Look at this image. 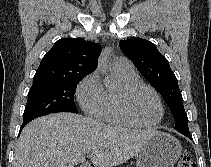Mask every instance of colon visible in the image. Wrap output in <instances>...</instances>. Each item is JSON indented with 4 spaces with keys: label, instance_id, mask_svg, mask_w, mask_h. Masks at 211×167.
Here are the masks:
<instances>
[{
    "label": "colon",
    "instance_id": "obj_1",
    "mask_svg": "<svg viewBox=\"0 0 211 167\" xmlns=\"http://www.w3.org/2000/svg\"><path fill=\"white\" fill-rule=\"evenodd\" d=\"M175 167H195V164L190 154L186 153L179 159Z\"/></svg>",
    "mask_w": 211,
    "mask_h": 167
}]
</instances>
